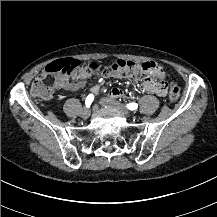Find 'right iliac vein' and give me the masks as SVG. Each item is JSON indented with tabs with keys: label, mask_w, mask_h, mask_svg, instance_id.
<instances>
[{
	"label": "right iliac vein",
	"mask_w": 217,
	"mask_h": 217,
	"mask_svg": "<svg viewBox=\"0 0 217 217\" xmlns=\"http://www.w3.org/2000/svg\"><path fill=\"white\" fill-rule=\"evenodd\" d=\"M90 113H91V110L89 108H85V109H83L81 115L83 118H88L90 116Z\"/></svg>",
	"instance_id": "63e3f726"
}]
</instances>
